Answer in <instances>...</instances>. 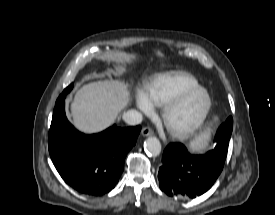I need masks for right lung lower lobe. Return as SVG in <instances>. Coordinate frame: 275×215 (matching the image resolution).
Returning <instances> with one entry per match:
<instances>
[{"label":"right lung lower lobe","mask_w":275,"mask_h":215,"mask_svg":"<svg viewBox=\"0 0 275 215\" xmlns=\"http://www.w3.org/2000/svg\"><path fill=\"white\" fill-rule=\"evenodd\" d=\"M140 129L113 125L101 133L85 135L68 122L64 98L57 99L48 137L50 157L68 185L99 196L115 187Z\"/></svg>","instance_id":"98d812e1"}]
</instances>
